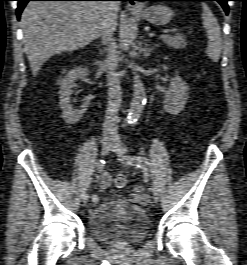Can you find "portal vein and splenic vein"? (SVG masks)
I'll use <instances>...</instances> for the list:
<instances>
[{"instance_id":"obj_1","label":"portal vein and splenic vein","mask_w":247,"mask_h":265,"mask_svg":"<svg viewBox=\"0 0 247 265\" xmlns=\"http://www.w3.org/2000/svg\"><path fill=\"white\" fill-rule=\"evenodd\" d=\"M168 36H169V34L164 33V34L160 35V36L158 37V39H165V38L168 37Z\"/></svg>"}]
</instances>
